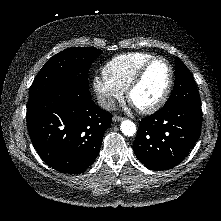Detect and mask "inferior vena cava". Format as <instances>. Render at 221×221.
<instances>
[{"label": "inferior vena cava", "instance_id": "obj_1", "mask_svg": "<svg viewBox=\"0 0 221 221\" xmlns=\"http://www.w3.org/2000/svg\"><path fill=\"white\" fill-rule=\"evenodd\" d=\"M99 107L106 111H112L116 108L115 99L109 95H99L97 98Z\"/></svg>", "mask_w": 221, "mask_h": 221}]
</instances>
